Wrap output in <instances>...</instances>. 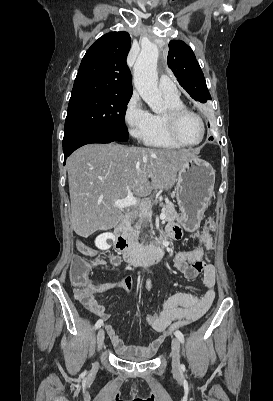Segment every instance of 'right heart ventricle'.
I'll return each mask as SVG.
<instances>
[{
  "instance_id": "obj_1",
  "label": "right heart ventricle",
  "mask_w": 273,
  "mask_h": 401,
  "mask_svg": "<svg viewBox=\"0 0 273 401\" xmlns=\"http://www.w3.org/2000/svg\"><path fill=\"white\" fill-rule=\"evenodd\" d=\"M166 107L184 106L180 94L174 96H165ZM163 113H155L151 115L150 129L144 139L146 145L162 148H181L182 146L176 143L168 134L164 120Z\"/></svg>"
}]
</instances>
